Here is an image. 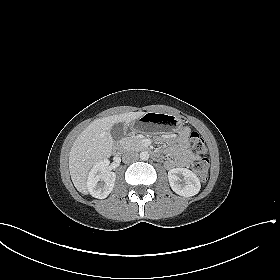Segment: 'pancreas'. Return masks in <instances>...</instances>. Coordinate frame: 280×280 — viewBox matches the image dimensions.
Segmentation results:
<instances>
[{"mask_svg":"<svg viewBox=\"0 0 280 280\" xmlns=\"http://www.w3.org/2000/svg\"><path fill=\"white\" fill-rule=\"evenodd\" d=\"M124 147L128 150H142L144 148V144L142 142V138L140 136H131L127 137L124 141Z\"/></svg>","mask_w":280,"mask_h":280,"instance_id":"cf45deb5","label":"pancreas"}]
</instances>
